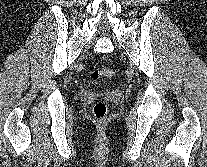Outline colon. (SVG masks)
I'll return each instance as SVG.
<instances>
[{
    "mask_svg": "<svg viewBox=\"0 0 207 167\" xmlns=\"http://www.w3.org/2000/svg\"><path fill=\"white\" fill-rule=\"evenodd\" d=\"M112 74V70L108 67L88 69L86 71L88 79L95 84H99L101 81L110 78ZM93 115L97 120L103 121L108 115V105L103 101L97 102L93 107Z\"/></svg>",
    "mask_w": 207,
    "mask_h": 167,
    "instance_id": "1",
    "label": "colon"
}]
</instances>
